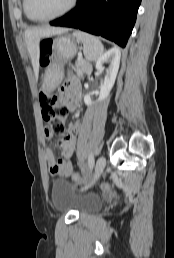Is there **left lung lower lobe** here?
<instances>
[{
    "mask_svg": "<svg viewBox=\"0 0 174 258\" xmlns=\"http://www.w3.org/2000/svg\"><path fill=\"white\" fill-rule=\"evenodd\" d=\"M140 3L141 0H78L72 11L50 24L80 29L125 47Z\"/></svg>",
    "mask_w": 174,
    "mask_h": 258,
    "instance_id": "1",
    "label": "left lung lower lobe"
}]
</instances>
